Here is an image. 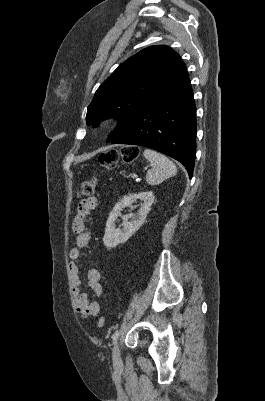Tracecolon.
Segmentation results:
<instances>
[{
	"label": "colon",
	"instance_id": "5ec220e1",
	"mask_svg": "<svg viewBox=\"0 0 265 401\" xmlns=\"http://www.w3.org/2000/svg\"><path fill=\"white\" fill-rule=\"evenodd\" d=\"M139 155V150L134 146H125L118 150H109L99 156V162L105 169H113L116 167L119 159L126 162L134 161ZM98 180L93 177L89 180L83 181L78 189V195L82 198L92 197L97 187ZM104 317L101 316L98 320V327L104 326Z\"/></svg>",
	"mask_w": 265,
	"mask_h": 401
}]
</instances>
